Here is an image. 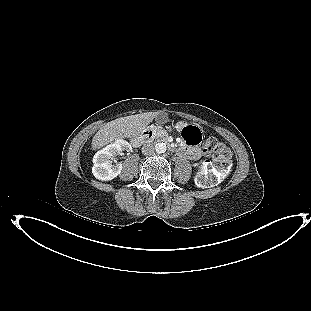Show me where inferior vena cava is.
<instances>
[{
	"mask_svg": "<svg viewBox=\"0 0 311 311\" xmlns=\"http://www.w3.org/2000/svg\"><path fill=\"white\" fill-rule=\"evenodd\" d=\"M155 152V148L151 143L144 144L142 147V153L144 155H153Z\"/></svg>",
	"mask_w": 311,
	"mask_h": 311,
	"instance_id": "602c4592",
	"label": "inferior vena cava"
}]
</instances>
